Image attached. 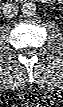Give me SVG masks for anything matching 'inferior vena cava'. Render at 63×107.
<instances>
[{"label": "inferior vena cava", "mask_w": 63, "mask_h": 107, "mask_svg": "<svg viewBox=\"0 0 63 107\" xmlns=\"http://www.w3.org/2000/svg\"><path fill=\"white\" fill-rule=\"evenodd\" d=\"M2 9L4 16L7 18L15 17L19 11V7L14 3H6Z\"/></svg>", "instance_id": "1"}]
</instances>
